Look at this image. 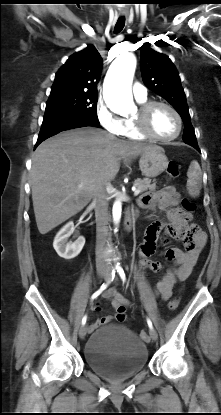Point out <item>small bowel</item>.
<instances>
[{"label": "small bowel", "mask_w": 221, "mask_h": 415, "mask_svg": "<svg viewBox=\"0 0 221 415\" xmlns=\"http://www.w3.org/2000/svg\"><path fill=\"white\" fill-rule=\"evenodd\" d=\"M179 200L180 196L172 186L144 194L139 200V205L143 208L150 210L158 208L165 211L169 221L168 224L155 222L147 228L143 242L139 247V266L142 269H150L154 272L162 269L159 262L150 259L155 253L161 233H163V243L166 244L170 239L181 240L186 248L185 251L179 248H170L166 251V257L174 262V267L167 270L162 279L155 285L156 295L163 300L169 299L175 285L189 276L206 244L205 234L200 232L197 226L188 225L192 218L191 212L187 207H179ZM103 297L110 301L114 314L104 315L96 319L90 325L91 330L113 319L117 321L125 320V311L129 301L115 288L106 290ZM95 309L99 311L100 306L97 305Z\"/></svg>", "instance_id": "small-bowel-1"}]
</instances>
